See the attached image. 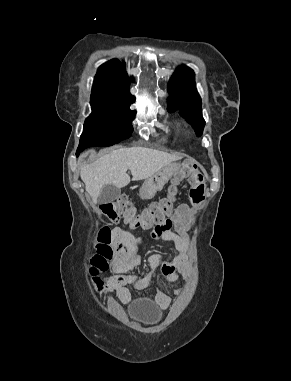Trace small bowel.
Segmentation results:
<instances>
[{"mask_svg":"<svg viewBox=\"0 0 291 381\" xmlns=\"http://www.w3.org/2000/svg\"><path fill=\"white\" fill-rule=\"evenodd\" d=\"M193 209L186 204L179 205L168 218L166 223L168 228L154 229L151 237L156 240L171 242L174 244L178 255L169 261H164L162 255H152L148 263L155 271L162 272L166 277V284H173L179 276L184 280H188L191 275L192 258L189 249V236L187 234L188 225L190 224ZM144 239L135 238L134 245L144 244ZM141 263V258L132 248H129L124 257V265L126 268H133ZM152 277L146 279H138L131 275L116 274L107 278L105 281L100 277L92 278V284L95 290L102 294L108 295L116 292L118 299L127 304L131 301V293L129 286L138 289H145L152 284ZM181 293L179 289L175 291ZM156 305L160 309H166L170 303L169 295L158 290L155 296Z\"/></svg>","mask_w":291,"mask_h":381,"instance_id":"c3829d8e","label":"small bowel"}]
</instances>
